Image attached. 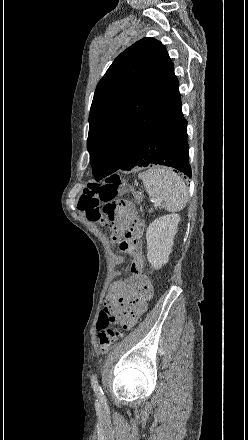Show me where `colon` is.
<instances>
[{
  "label": "colon",
  "mask_w": 248,
  "mask_h": 440,
  "mask_svg": "<svg viewBox=\"0 0 248 440\" xmlns=\"http://www.w3.org/2000/svg\"><path fill=\"white\" fill-rule=\"evenodd\" d=\"M121 187L122 179L118 175H112L102 183H90L78 200V208L86 214L88 220L100 222L113 230L117 211L121 209L123 212L124 202L115 201ZM128 191L132 193L137 203L141 201V191ZM101 204L103 205L101 206ZM118 238V235L113 231L112 239L116 241ZM114 319L113 312L104 308L98 321L99 347L102 352L109 351L122 337V333L112 327Z\"/></svg>",
  "instance_id": "colon-1"
}]
</instances>
